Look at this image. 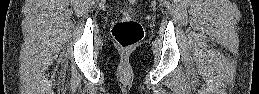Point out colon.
I'll return each mask as SVG.
<instances>
[{"instance_id":"5ec220e1","label":"colon","mask_w":259,"mask_h":94,"mask_svg":"<svg viewBox=\"0 0 259 94\" xmlns=\"http://www.w3.org/2000/svg\"><path fill=\"white\" fill-rule=\"evenodd\" d=\"M129 2L133 4L136 1L129 0ZM111 32L115 42L122 49L133 48L142 40L144 35L140 23L125 13L114 23Z\"/></svg>"}]
</instances>
